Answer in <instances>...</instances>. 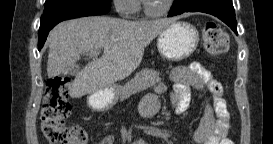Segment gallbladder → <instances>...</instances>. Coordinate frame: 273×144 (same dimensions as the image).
Listing matches in <instances>:
<instances>
[{
    "label": "gallbladder",
    "mask_w": 273,
    "mask_h": 144,
    "mask_svg": "<svg viewBox=\"0 0 273 144\" xmlns=\"http://www.w3.org/2000/svg\"><path fill=\"white\" fill-rule=\"evenodd\" d=\"M70 68H71L70 69L71 76H79L80 75L79 65H72Z\"/></svg>",
    "instance_id": "gallbladder-1"
}]
</instances>
